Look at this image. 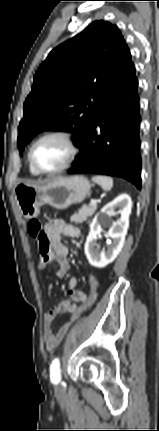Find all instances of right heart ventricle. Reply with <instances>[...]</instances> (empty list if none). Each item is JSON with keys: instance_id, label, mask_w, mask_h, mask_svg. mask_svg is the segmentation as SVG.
I'll list each match as a JSON object with an SVG mask.
<instances>
[{"instance_id": "e07e8e85", "label": "right heart ventricle", "mask_w": 159, "mask_h": 431, "mask_svg": "<svg viewBox=\"0 0 159 431\" xmlns=\"http://www.w3.org/2000/svg\"><path fill=\"white\" fill-rule=\"evenodd\" d=\"M29 171L32 175H38V173L31 167L30 163H29Z\"/></svg>"}]
</instances>
